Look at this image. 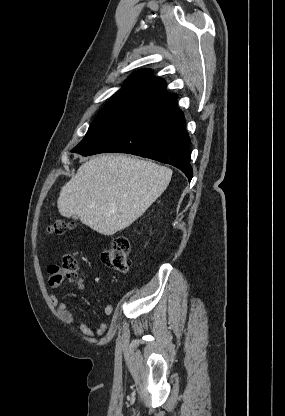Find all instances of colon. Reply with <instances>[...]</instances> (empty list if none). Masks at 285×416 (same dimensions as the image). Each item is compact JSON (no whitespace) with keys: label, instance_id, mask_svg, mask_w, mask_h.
Masks as SVG:
<instances>
[{"label":"colon","instance_id":"5ec220e1","mask_svg":"<svg viewBox=\"0 0 285 416\" xmlns=\"http://www.w3.org/2000/svg\"><path fill=\"white\" fill-rule=\"evenodd\" d=\"M72 227L73 225L66 221L57 220L50 226L49 232L55 235H62ZM129 254V241L125 237L118 236L108 248L101 251L100 256L106 266L125 272L130 266ZM49 272L51 274L50 283L53 286L76 281L78 278V262L75 254H65L60 264L50 266Z\"/></svg>","mask_w":285,"mask_h":416}]
</instances>
